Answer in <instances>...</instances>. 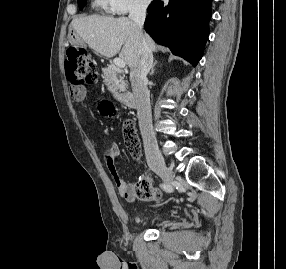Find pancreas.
<instances>
[{
    "mask_svg": "<svg viewBox=\"0 0 286 269\" xmlns=\"http://www.w3.org/2000/svg\"><path fill=\"white\" fill-rule=\"evenodd\" d=\"M104 83L107 86L108 90L113 94L117 99H122L123 92L125 90V81L124 78L120 75V71L116 67H106L103 70Z\"/></svg>",
    "mask_w": 286,
    "mask_h": 269,
    "instance_id": "cf45deb5",
    "label": "pancreas"
}]
</instances>
